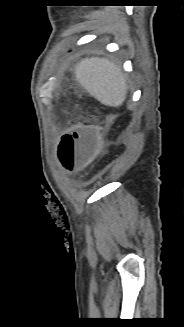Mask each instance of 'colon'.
<instances>
[{"instance_id": "5ec220e1", "label": "colon", "mask_w": 184, "mask_h": 327, "mask_svg": "<svg viewBox=\"0 0 184 327\" xmlns=\"http://www.w3.org/2000/svg\"><path fill=\"white\" fill-rule=\"evenodd\" d=\"M104 148V143L92 128L78 126L61 136L57 155L61 165L73 171L101 155Z\"/></svg>"}]
</instances>
